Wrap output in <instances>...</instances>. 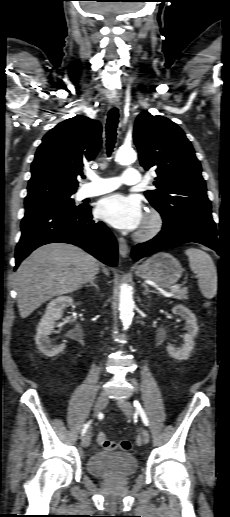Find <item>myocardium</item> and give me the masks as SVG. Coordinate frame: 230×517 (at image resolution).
Wrapping results in <instances>:
<instances>
[{
  "mask_svg": "<svg viewBox=\"0 0 230 517\" xmlns=\"http://www.w3.org/2000/svg\"><path fill=\"white\" fill-rule=\"evenodd\" d=\"M164 220L161 213L155 208H150L144 217L141 229L137 233L140 240H149L155 237L163 228Z\"/></svg>",
  "mask_w": 230,
  "mask_h": 517,
  "instance_id": "1",
  "label": "myocardium"
}]
</instances>
